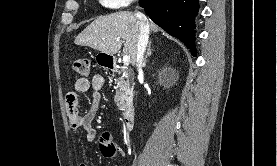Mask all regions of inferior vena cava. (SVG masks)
Masks as SVG:
<instances>
[{
	"label": "inferior vena cava",
	"instance_id": "inferior-vena-cava-1",
	"mask_svg": "<svg viewBox=\"0 0 277 166\" xmlns=\"http://www.w3.org/2000/svg\"><path fill=\"white\" fill-rule=\"evenodd\" d=\"M135 15L140 25V34L137 43L136 62L138 69L141 70L144 60V52L146 50L149 39V25L147 23V18L145 17V15H143L142 13H136Z\"/></svg>",
	"mask_w": 277,
	"mask_h": 166
}]
</instances>
